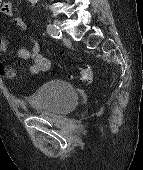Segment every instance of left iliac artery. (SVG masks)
I'll return each instance as SVG.
<instances>
[{
  "label": "left iliac artery",
  "instance_id": "1",
  "mask_svg": "<svg viewBox=\"0 0 143 170\" xmlns=\"http://www.w3.org/2000/svg\"><path fill=\"white\" fill-rule=\"evenodd\" d=\"M47 32L54 38H61L62 36V32L59 29L58 26H56L55 24H49L47 26Z\"/></svg>",
  "mask_w": 143,
  "mask_h": 170
}]
</instances>
